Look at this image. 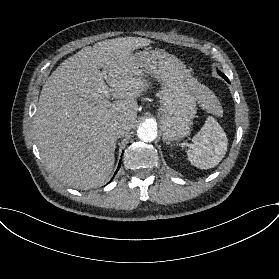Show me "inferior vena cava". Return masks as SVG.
<instances>
[{"label":"inferior vena cava","mask_w":279,"mask_h":279,"mask_svg":"<svg viewBox=\"0 0 279 279\" xmlns=\"http://www.w3.org/2000/svg\"><path fill=\"white\" fill-rule=\"evenodd\" d=\"M127 133V127L126 124H119L116 125L113 129H112V135L115 138H121L122 136H124Z\"/></svg>","instance_id":"1"}]
</instances>
